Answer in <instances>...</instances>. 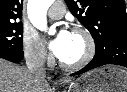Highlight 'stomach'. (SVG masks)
<instances>
[{
    "instance_id": "0dacf381",
    "label": "stomach",
    "mask_w": 127,
    "mask_h": 92,
    "mask_svg": "<svg viewBox=\"0 0 127 92\" xmlns=\"http://www.w3.org/2000/svg\"><path fill=\"white\" fill-rule=\"evenodd\" d=\"M69 92H127V71L115 66L95 69L77 78Z\"/></svg>"
}]
</instances>
